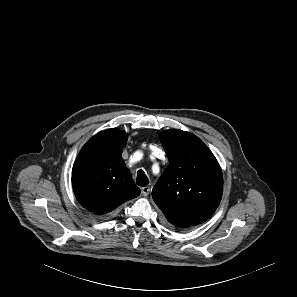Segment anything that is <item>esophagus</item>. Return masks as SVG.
Wrapping results in <instances>:
<instances>
[{
    "instance_id": "34e87169",
    "label": "esophagus",
    "mask_w": 297,
    "mask_h": 297,
    "mask_svg": "<svg viewBox=\"0 0 297 297\" xmlns=\"http://www.w3.org/2000/svg\"><path fill=\"white\" fill-rule=\"evenodd\" d=\"M141 193L143 196H148L150 193V186H144L141 188Z\"/></svg>"
}]
</instances>
